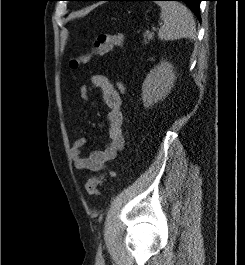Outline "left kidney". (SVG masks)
<instances>
[{
    "mask_svg": "<svg viewBox=\"0 0 245 265\" xmlns=\"http://www.w3.org/2000/svg\"><path fill=\"white\" fill-rule=\"evenodd\" d=\"M175 81L174 67L167 61H161L146 76L142 86L143 105L149 108L162 100L170 92Z\"/></svg>",
    "mask_w": 245,
    "mask_h": 265,
    "instance_id": "obj_1",
    "label": "left kidney"
}]
</instances>
